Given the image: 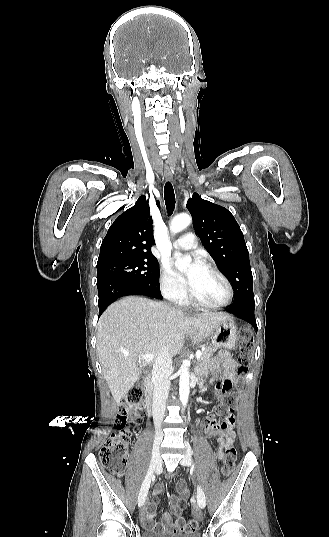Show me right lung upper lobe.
I'll return each mask as SVG.
<instances>
[{
	"label": "right lung upper lobe",
	"mask_w": 329,
	"mask_h": 537,
	"mask_svg": "<svg viewBox=\"0 0 329 537\" xmlns=\"http://www.w3.org/2000/svg\"><path fill=\"white\" fill-rule=\"evenodd\" d=\"M160 208L159 201H156ZM153 221L146 197L141 195L135 205L122 213L110 226L100 247L98 264L115 260L155 258Z\"/></svg>",
	"instance_id": "right-lung-upper-lobe-1"
}]
</instances>
